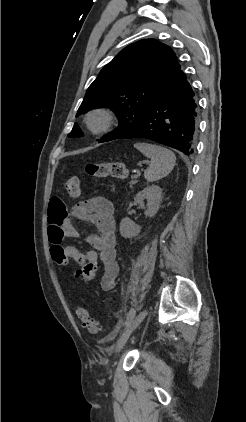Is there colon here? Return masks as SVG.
I'll return each mask as SVG.
<instances>
[{
  "instance_id": "5ec220e1",
  "label": "colon",
  "mask_w": 246,
  "mask_h": 422,
  "mask_svg": "<svg viewBox=\"0 0 246 422\" xmlns=\"http://www.w3.org/2000/svg\"><path fill=\"white\" fill-rule=\"evenodd\" d=\"M86 172L89 176L95 178H106L110 176L124 179L128 175L127 167L121 162L91 163L86 166ZM65 188L67 193L72 197H79L81 194L80 180L76 176H71L66 180ZM51 255L55 263L60 267H66L70 263L65 252L59 247L53 248ZM96 273L97 265L95 263H87L77 272V276L84 281H91L95 278ZM75 312L81 325L88 332L96 334L100 331L99 322L93 319L84 308L77 306Z\"/></svg>"
}]
</instances>
